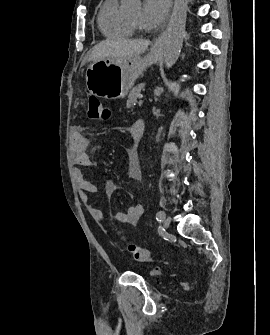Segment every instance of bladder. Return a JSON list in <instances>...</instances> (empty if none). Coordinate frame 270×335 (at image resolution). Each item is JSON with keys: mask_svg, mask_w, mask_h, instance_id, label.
Segmentation results:
<instances>
[{"mask_svg": "<svg viewBox=\"0 0 270 335\" xmlns=\"http://www.w3.org/2000/svg\"><path fill=\"white\" fill-rule=\"evenodd\" d=\"M150 278H153V276L155 275V273H150Z\"/></svg>", "mask_w": 270, "mask_h": 335, "instance_id": "bladder-1", "label": "bladder"}]
</instances>
